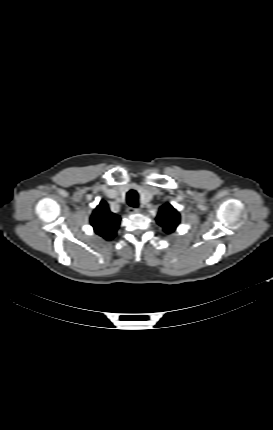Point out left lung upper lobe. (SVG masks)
I'll return each instance as SVG.
<instances>
[{
  "instance_id": "left-lung-upper-lobe-1",
  "label": "left lung upper lobe",
  "mask_w": 273,
  "mask_h": 430,
  "mask_svg": "<svg viewBox=\"0 0 273 430\" xmlns=\"http://www.w3.org/2000/svg\"><path fill=\"white\" fill-rule=\"evenodd\" d=\"M157 223L163 227L166 233L173 232L180 223V215L170 204H165L159 208Z\"/></svg>"
}]
</instances>
